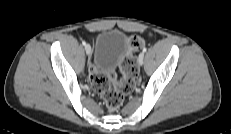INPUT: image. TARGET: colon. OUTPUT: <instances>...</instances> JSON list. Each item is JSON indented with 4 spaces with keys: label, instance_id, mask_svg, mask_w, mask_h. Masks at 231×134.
I'll use <instances>...</instances> for the list:
<instances>
[{
    "label": "colon",
    "instance_id": "obj_1",
    "mask_svg": "<svg viewBox=\"0 0 231 134\" xmlns=\"http://www.w3.org/2000/svg\"><path fill=\"white\" fill-rule=\"evenodd\" d=\"M127 42L128 52L120 61L122 79L119 80L114 73L103 75L94 67L89 70V81L92 88L101 96L110 111H116L121 106L125 96L133 91L138 76V65L134 52L144 45L145 40L138 35H131Z\"/></svg>",
    "mask_w": 231,
    "mask_h": 134
}]
</instances>
